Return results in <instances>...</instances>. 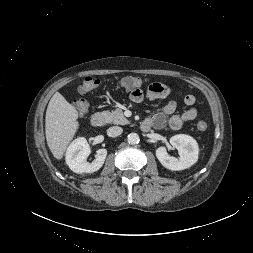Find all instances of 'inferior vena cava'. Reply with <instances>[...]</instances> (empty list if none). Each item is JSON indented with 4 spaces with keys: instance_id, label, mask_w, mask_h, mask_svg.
Masks as SVG:
<instances>
[{
    "instance_id": "obj_1",
    "label": "inferior vena cava",
    "mask_w": 253,
    "mask_h": 253,
    "mask_svg": "<svg viewBox=\"0 0 253 253\" xmlns=\"http://www.w3.org/2000/svg\"><path fill=\"white\" fill-rule=\"evenodd\" d=\"M122 132H123V129L119 126L110 127L107 130V134L110 137H117V136L121 135Z\"/></svg>"
}]
</instances>
